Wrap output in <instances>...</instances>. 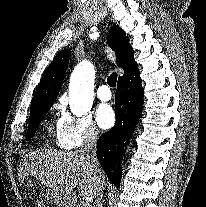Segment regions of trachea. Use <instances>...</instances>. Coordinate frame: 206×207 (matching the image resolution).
<instances>
[{"label": "trachea", "instance_id": "3493384b", "mask_svg": "<svg viewBox=\"0 0 206 207\" xmlns=\"http://www.w3.org/2000/svg\"><path fill=\"white\" fill-rule=\"evenodd\" d=\"M117 82V74L114 72L107 78V83L110 87H115Z\"/></svg>", "mask_w": 206, "mask_h": 207}]
</instances>
